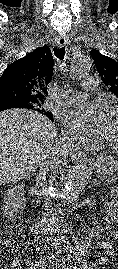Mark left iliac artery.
<instances>
[{
	"label": "left iliac artery",
	"mask_w": 118,
	"mask_h": 269,
	"mask_svg": "<svg viewBox=\"0 0 118 269\" xmlns=\"http://www.w3.org/2000/svg\"><path fill=\"white\" fill-rule=\"evenodd\" d=\"M73 269H77V267H73Z\"/></svg>",
	"instance_id": "obj_1"
}]
</instances>
